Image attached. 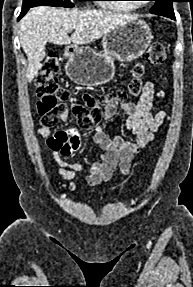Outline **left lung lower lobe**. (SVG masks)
Listing matches in <instances>:
<instances>
[{
	"mask_svg": "<svg viewBox=\"0 0 193 287\" xmlns=\"http://www.w3.org/2000/svg\"><path fill=\"white\" fill-rule=\"evenodd\" d=\"M171 19H175V16L170 17Z\"/></svg>",
	"mask_w": 193,
	"mask_h": 287,
	"instance_id": "obj_1",
	"label": "left lung lower lobe"
}]
</instances>
